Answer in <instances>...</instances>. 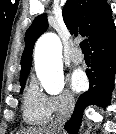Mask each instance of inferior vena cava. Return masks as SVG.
I'll use <instances>...</instances> for the list:
<instances>
[{
	"label": "inferior vena cava",
	"mask_w": 116,
	"mask_h": 134,
	"mask_svg": "<svg viewBox=\"0 0 116 134\" xmlns=\"http://www.w3.org/2000/svg\"><path fill=\"white\" fill-rule=\"evenodd\" d=\"M73 110L74 102L72 100H68L65 106L60 110V112L56 116L54 122L51 124V129H53L55 133L61 134L63 126L70 118Z\"/></svg>",
	"instance_id": "602c4592"
}]
</instances>
